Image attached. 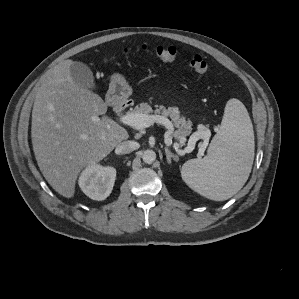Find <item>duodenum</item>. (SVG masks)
Wrapping results in <instances>:
<instances>
[{"label":"duodenum","instance_id":"obj_1","mask_svg":"<svg viewBox=\"0 0 299 299\" xmlns=\"http://www.w3.org/2000/svg\"><path fill=\"white\" fill-rule=\"evenodd\" d=\"M114 107L117 111H122L128 107V102L126 100L119 101V102L115 103Z\"/></svg>","mask_w":299,"mask_h":299}]
</instances>
